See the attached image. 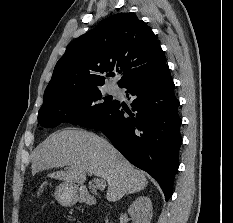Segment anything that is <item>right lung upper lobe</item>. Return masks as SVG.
<instances>
[{"instance_id": "1", "label": "right lung upper lobe", "mask_w": 233, "mask_h": 223, "mask_svg": "<svg viewBox=\"0 0 233 223\" xmlns=\"http://www.w3.org/2000/svg\"><path fill=\"white\" fill-rule=\"evenodd\" d=\"M164 63V52L151 28L133 14H115L68 44L44 92L43 105L101 88L114 69L122 74L120 87Z\"/></svg>"}]
</instances>
